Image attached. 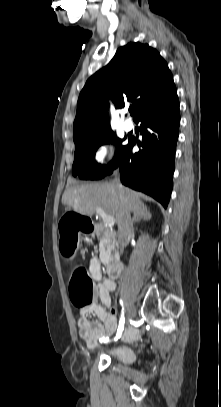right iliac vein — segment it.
Instances as JSON below:
<instances>
[{"instance_id": "obj_1", "label": "right iliac vein", "mask_w": 221, "mask_h": 407, "mask_svg": "<svg viewBox=\"0 0 221 407\" xmlns=\"http://www.w3.org/2000/svg\"><path fill=\"white\" fill-rule=\"evenodd\" d=\"M135 315V309L133 306H130L128 309V313H127V320H126V324L128 323L129 320H131Z\"/></svg>"}]
</instances>
